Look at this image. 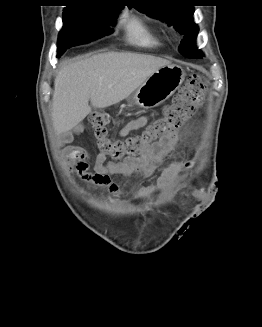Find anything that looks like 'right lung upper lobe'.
<instances>
[{
	"mask_svg": "<svg viewBox=\"0 0 262 327\" xmlns=\"http://www.w3.org/2000/svg\"><path fill=\"white\" fill-rule=\"evenodd\" d=\"M72 3H76L75 5H91L96 7H107L114 9H121L122 6H115L107 3H111V0H69ZM72 6V5H69ZM67 6V7H69Z\"/></svg>",
	"mask_w": 262,
	"mask_h": 327,
	"instance_id": "right-lung-upper-lobe-1",
	"label": "right lung upper lobe"
}]
</instances>
